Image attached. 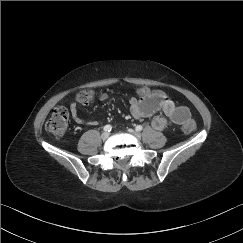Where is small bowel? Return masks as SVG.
Instances as JSON below:
<instances>
[{
	"instance_id": "obj_1",
	"label": "small bowel",
	"mask_w": 243,
	"mask_h": 243,
	"mask_svg": "<svg viewBox=\"0 0 243 243\" xmlns=\"http://www.w3.org/2000/svg\"><path fill=\"white\" fill-rule=\"evenodd\" d=\"M138 98H131L129 101L130 112L135 119L148 118L158 111L163 112V116H157L152 121L154 129L161 131L169 122L176 125H183L190 119L191 113L188 107L177 105L168 95L162 91H150L148 88H141L138 91ZM109 94L103 93L99 99L106 100ZM70 112L75 123L83 125L86 122L78 114L76 103L70 105ZM92 124H98L94 121Z\"/></svg>"
}]
</instances>
